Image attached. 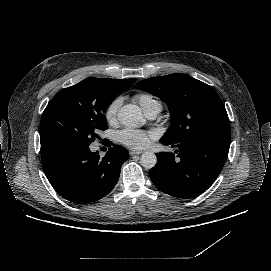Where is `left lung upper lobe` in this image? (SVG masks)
<instances>
[{
    "mask_svg": "<svg viewBox=\"0 0 271 271\" xmlns=\"http://www.w3.org/2000/svg\"><path fill=\"white\" fill-rule=\"evenodd\" d=\"M136 87L161 98L173 116L162 140L179 143L201 133L230 136L225 106L208 84L186 74H170L142 80Z\"/></svg>",
    "mask_w": 271,
    "mask_h": 271,
    "instance_id": "obj_1",
    "label": "left lung upper lobe"
}]
</instances>
